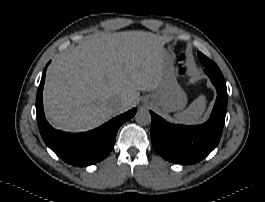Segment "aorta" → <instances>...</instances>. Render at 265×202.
I'll list each match as a JSON object with an SVG mask.
<instances>
[{
    "instance_id": "aorta-1",
    "label": "aorta",
    "mask_w": 265,
    "mask_h": 202,
    "mask_svg": "<svg viewBox=\"0 0 265 202\" xmlns=\"http://www.w3.org/2000/svg\"><path fill=\"white\" fill-rule=\"evenodd\" d=\"M135 119L138 123L142 125H147L151 121V115L146 110H139L135 116Z\"/></svg>"
}]
</instances>
